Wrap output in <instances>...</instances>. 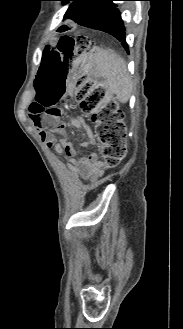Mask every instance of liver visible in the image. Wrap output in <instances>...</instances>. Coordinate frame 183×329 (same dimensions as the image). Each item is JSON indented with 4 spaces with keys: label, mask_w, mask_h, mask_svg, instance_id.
Here are the masks:
<instances>
[{
    "label": "liver",
    "mask_w": 183,
    "mask_h": 329,
    "mask_svg": "<svg viewBox=\"0 0 183 329\" xmlns=\"http://www.w3.org/2000/svg\"><path fill=\"white\" fill-rule=\"evenodd\" d=\"M81 71L93 79L96 87L106 90L104 100L116 95L121 103L129 100L132 81L125 60L112 49L94 48L84 51L79 59Z\"/></svg>",
    "instance_id": "liver-1"
}]
</instances>
